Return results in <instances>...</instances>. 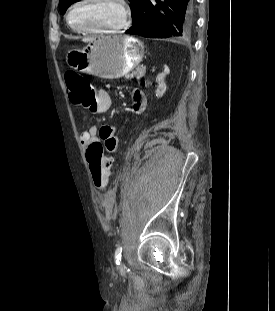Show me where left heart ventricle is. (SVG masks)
<instances>
[{
    "label": "left heart ventricle",
    "instance_id": "1",
    "mask_svg": "<svg viewBox=\"0 0 275 311\" xmlns=\"http://www.w3.org/2000/svg\"><path fill=\"white\" fill-rule=\"evenodd\" d=\"M120 16L119 6L111 0H87L72 10L70 22L76 27L96 28L114 25Z\"/></svg>",
    "mask_w": 275,
    "mask_h": 311
}]
</instances>
